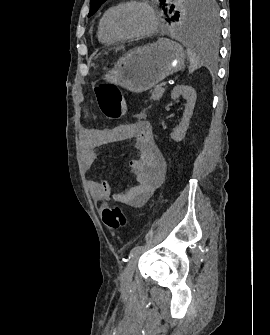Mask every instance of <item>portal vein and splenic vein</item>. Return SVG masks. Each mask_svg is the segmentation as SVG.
<instances>
[{
    "mask_svg": "<svg viewBox=\"0 0 270 335\" xmlns=\"http://www.w3.org/2000/svg\"><path fill=\"white\" fill-rule=\"evenodd\" d=\"M167 82L164 80V81H162V86H166L167 84H166Z\"/></svg>",
    "mask_w": 270,
    "mask_h": 335,
    "instance_id": "portal-vein-and-splenic-vein-1",
    "label": "portal vein and splenic vein"
}]
</instances>
